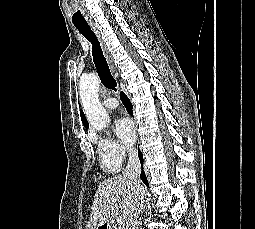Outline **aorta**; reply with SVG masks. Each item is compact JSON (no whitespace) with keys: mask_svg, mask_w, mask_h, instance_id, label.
Masks as SVG:
<instances>
[{"mask_svg":"<svg viewBox=\"0 0 255 229\" xmlns=\"http://www.w3.org/2000/svg\"><path fill=\"white\" fill-rule=\"evenodd\" d=\"M99 78L94 73L83 76L80 80V97L90 124L98 131L109 123L108 113L98 98Z\"/></svg>","mask_w":255,"mask_h":229,"instance_id":"1","label":"aorta"}]
</instances>
